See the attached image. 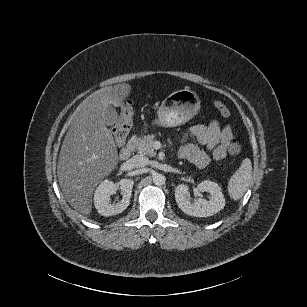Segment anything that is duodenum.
I'll list each match as a JSON object with an SVG mask.
<instances>
[{
  "instance_id": "1",
  "label": "duodenum",
  "mask_w": 307,
  "mask_h": 307,
  "mask_svg": "<svg viewBox=\"0 0 307 307\" xmlns=\"http://www.w3.org/2000/svg\"><path fill=\"white\" fill-rule=\"evenodd\" d=\"M136 138L134 135L130 136L126 141L125 145L122 147L120 151V158L122 160H127L132 155Z\"/></svg>"
}]
</instances>
